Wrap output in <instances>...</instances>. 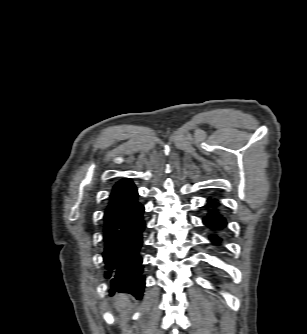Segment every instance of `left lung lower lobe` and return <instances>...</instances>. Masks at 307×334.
<instances>
[{
  "label": "left lung lower lobe",
  "instance_id": "obj_1",
  "mask_svg": "<svg viewBox=\"0 0 307 334\" xmlns=\"http://www.w3.org/2000/svg\"><path fill=\"white\" fill-rule=\"evenodd\" d=\"M208 204L213 207H216L218 205L216 200L211 199H208ZM203 222L206 226L216 231H222L227 225L225 218L222 215L218 214V210L216 208H213L209 211L207 216L203 219ZM209 239L215 245H220L222 241V239L217 234L209 236Z\"/></svg>",
  "mask_w": 307,
  "mask_h": 334
}]
</instances>
